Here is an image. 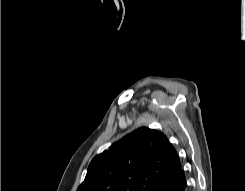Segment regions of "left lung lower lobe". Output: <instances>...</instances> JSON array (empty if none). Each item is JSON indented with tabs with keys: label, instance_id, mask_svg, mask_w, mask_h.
<instances>
[{
	"label": "left lung lower lobe",
	"instance_id": "0a47b994",
	"mask_svg": "<svg viewBox=\"0 0 245 191\" xmlns=\"http://www.w3.org/2000/svg\"><path fill=\"white\" fill-rule=\"evenodd\" d=\"M155 191H187V180L180 160Z\"/></svg>",
	"mask_w": 245,
	"mask_h": 191
}]
</instances>
